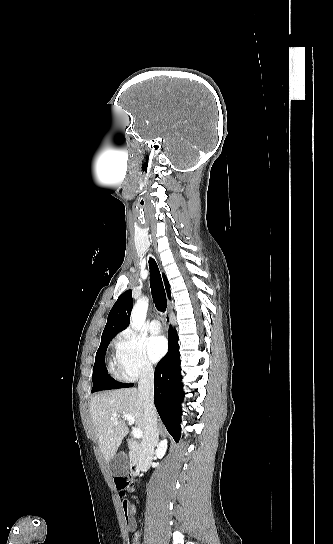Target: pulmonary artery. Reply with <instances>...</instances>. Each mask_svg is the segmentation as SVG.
<instances>
[{
    "label": "pulmonary artery",
    "mask_w": 333,
    "mask_h": 544,
    "mask_svg": "<svg viewBox=\"0 0 333 544\" xmlns=\"http://www.w3.org/2000/svg\"><path fill=\"white\" fill-rule=\"evenodd\" d=\"M149 330L152 334H158L161 330V325L159 320L152 319L149 323Z\"/></svg>",
    "instance_id": "obj_1"
}]
</instances>
